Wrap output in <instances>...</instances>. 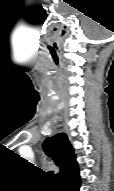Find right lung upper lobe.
<instances>
[{
  "label": "right lung upper lobe",
  "instance_id": "1",
  "mask_svg": "<svg viewBox=\"0 0 114 191\" xmlns=\"http://www.w3.org/2000/svg\"><path fill=\"white\" fill-rule=\"evenodd\" d=\"M43 147L60 169V172L55 175L57 181L78 169V164L73 155L74 150L66 134L61 133L47 138L44 141Z\"/></svg>",
  "mask_w": 114,
  "mask_h": 191
}]
</instances>
